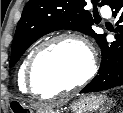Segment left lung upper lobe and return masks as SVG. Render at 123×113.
Returning <instances> with one entry per match:
<instances>
[{
  "label": "left lung upper lobe",
  "mask_w": 123,
  "mask_h": 113,
  "mask_svg": "<svg viewBox=\"0 0 123 113\" xmlns=\"http://www.w3.org/2000/svg\"><path fill=\"white\" fill-rule=\"evenodd\" d=\"M94 6L97 0H91ZM111 0H101L99 6ZM85 0H30L22 12L11 47L9 67H13L27 48L50 32L69 29L94 37L98 44L105 34H96L91 13L85 9Z\"/></svg>",
  "instance_id": "5c2ea615"
}]
</instances>
